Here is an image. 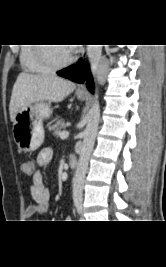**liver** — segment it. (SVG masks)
Instances as JSON below:
<instances>
[{"mask_svg":"<svg viewBox=\"0 0 166 267\" xmlns=\"http://www.w3.org/2000/svg\"><path fill=\"white\" fill-rule=\"evenodd\" d=\"M71 81L52 74L20 73L13 86L9 113L12 122L16 114L36 102H61L75 89Z\"/></svg>","mask_w":166,"mask_h":267,"instance_id":"obj_1","label":"liver"}]
</instances>
